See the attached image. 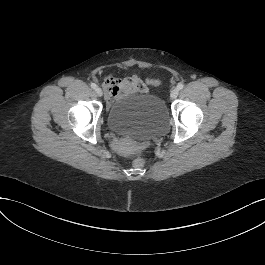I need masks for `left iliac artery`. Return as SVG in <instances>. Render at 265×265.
Instances as JSON below:
<instances>
[{
	"instance_id": "44dca946",
	"label": "left iliac artery",
	"mask_w": 265,
	"mask_h": 265,
	"mask_svg": "<svg viewBox=\"0 0 265 265\" xmlns=\"http://www.w3.org/2000/svg\"><path fill=\"white\" fill-rule=\"evenodd\" d=\"M183 87H184V84L183 83H178V85H177V89L178 90H182Z\"/></svg>"
}]
</instances>
